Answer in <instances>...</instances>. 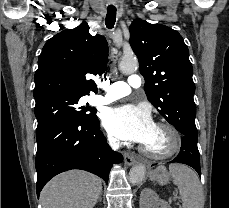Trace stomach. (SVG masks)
<instances>
[{
    "label": "stomach",
    "instance_id": "1",
    "mask_svg": "<svg viewBox=\"0 0 229 208\" xmlns=\"http://www.w3.org/2000/svg\"><path fill=\"white\" fill-rule=\"evenodd\" d=\"M149 176L151 180L159 182V184H162V186H164V184H168L170 180V174H168V172H151Z\"/></svg>",
    "mask_w": 229,
    "mask_h": 208
}]
</instances>
